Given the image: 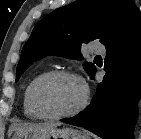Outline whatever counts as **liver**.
<instances>
[{
    "instance_id": "1",
    "label": "liver",
    "mask_w": 141,
    "mask_h": 139,
    "mask_svg": "<svg viewBox=\"0 0 141 139\" xmlns=\"http://www.w3.org/2000/svg\"><path fill=\"white\" fill-rule=\"evenodd\" d=\"M60 123L45 122V123H24V124H14L10 128V134L15 131L16 135L25 134L33 130L42 128H53L59 126Z\"/></svg>"
}]
</instances>
